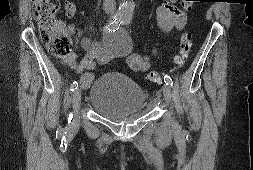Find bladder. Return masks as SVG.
Listing matches in <instances>:
<instances>
[{"mask_svg":"<svg viewBox=\"0 0 253 170\" xmlns=\"http://www.w3.org/2000/svg\"><path fill=\"white\" fill-rule=\"evenodd\" d=\"M148 102L147 91L122 72L107 71L100 74L89 89V106L115 122L143 114Z\"/></svg>","mask_w":253,"mask_h":170,"instance_id":"1","label":"bladder"}]
</instances>
